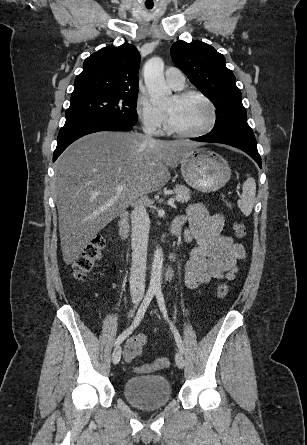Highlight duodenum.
Instances as JSON below:
<instances>
[{"label": "duodenum", "instance_id": "obj_1", "mask_svg": "<svg viewBox=\"0 0 307 445\" xmlns=\"http://www.w3.org/2000/svg\"><path fill=\"white\" fill-rule=\"evenodd\" d=\"M119 232L123 239H126L129 235V214L127 211L123 212L119 220ZM178 232L171 229V235L176 236Z\"/></svg>", "mask_w": 307, "mask_h": 445}]
</instances>
